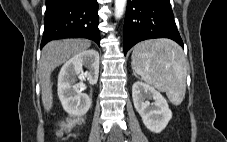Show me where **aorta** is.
I'll use <instances>...</instances> for the list:
<instances>
[{
  "label": "aorta",
  "mask_w": 227,
  "mask_h": 142,
  "mask_svg": "<svg viewBox=\"0 0 227 142\" xmlns=\"http://www.w3.org/2000/svg\"><path fill=\"white\" fill-rule=\"evenodd\" d=\"M126 4H127V0H115V18L116 19H119L122 17Z\"/></svg>",
  "instance_id": "762f6f07"
}]
</instances>
